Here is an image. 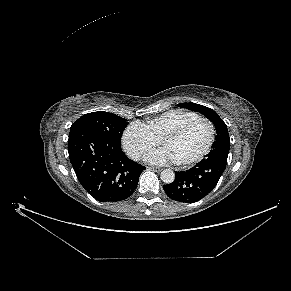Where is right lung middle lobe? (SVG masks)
<instances>
[{"label":"right lung middle lobe","mask_w":291,"mask_h":291,"mask_svg":"<svg viewBox=\"0 0 291 291\" xmlns=\"http://www.w3.org/2000/svg\"><path fill=\"white\" fill-rule=\"evenodd\" d=\"M128 125L126 119L113 113L98 111L83 115L70 127V134L87 131L103 136L121 146V136Z\"/></svg>","instance_id":"dd1d6c3e"}]
</instances>
